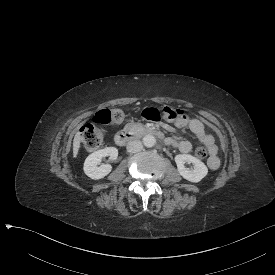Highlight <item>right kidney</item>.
Instances as JSON below:
<instances>
[{
  "instance_id": "1",
  "label": "right kidney",
  "mask_w": 275,
  "mask_h": 275,
  "mask_svg": "<svg viewBox=\"0 0 275 275\" xmlns=\"http://www.w3.org/2000/svg\"><path fill=\"white\" fill-rule=\"evenodd\" d=\"M107 156L111 159H116L118 157V149L115 147H106L90 154L84 163L85 174L93 180H100L109 175L112 171V165L104 164L98 167L101 160Z\"/></svg>"
}]
</instances>
